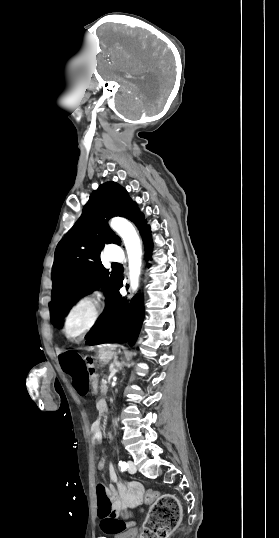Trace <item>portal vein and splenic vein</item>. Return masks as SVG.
<instances>
[{
    "label": "portal vein and splenic vein",
    "mask_w": 279,
    "mask_h": 538,
    "mask_svg": "<svg viewBox=\"0 0 279 538\" xmlns=\"http://www.w3.org/2000/svg\"><path fill=\"white\" fill-rule=\"evenodd\" d=\"M105 383H108V380H105Z\"/></svg>",
    "instance_id": "obj_1"
}]
</instances>
